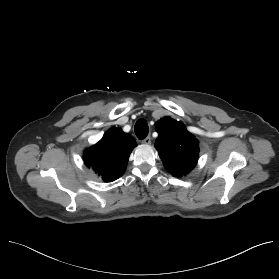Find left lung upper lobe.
<instances>
[{"instance_id":"5c2ea615","label":"left lung upper lobe","mask_w":279,"mask_h":279,"mask_svg":"<svg viewBox=\"0 0 279 279\" xmlns=\"http://www.w3.org/2000/svg\"><path fill=\"white\" fill-rule=\"evenodd\" d=\"M155 126L159 134L155 147L165 168L177 177L187 174L198 161V140L182 123L168 117L159 120Z\"/></svg>"}]
</instances>
